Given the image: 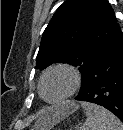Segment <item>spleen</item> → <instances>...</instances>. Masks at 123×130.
I'll list each match as a JSON object with an SVG mask.
<instances>
[{
	"label": "spleen",
	"instance_id": "3e777b00",
	"mask_svg": "<svg viewBox=\"0 0 123 130\" xmlns=\"http://www.w3.org/2000/svg\"><path fill=\"white\" fill-rule=\"evenodd\" d=\"M81 106L87 118L79 130H123V123L104 107L88 102Z\"/></svg>",
	"mask_w": 123,
	"mask_h": 130
}]
</instances>
